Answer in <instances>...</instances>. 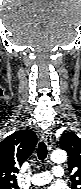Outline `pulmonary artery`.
I'll list each match as a JSON object with an SVG mask.
<instances>
[{"label": "pulmonary artery", "mask_w": 81, "mask_h": 189, "mask_svg": "<svg viewBox=\"0 0 81 189\" xmlns=\"http://www.w3.org/2000/svg\"><path fill=\"white\" fill-rule=\"evenodd\" d=\"M64 175V170L62 167H53L51 172H42L35 174L31 178V182L34 185L41 186L51 182L53 179L61 178Z\"/></svg>", "instance_id": "e3ab8cb5"}]
</instances>
